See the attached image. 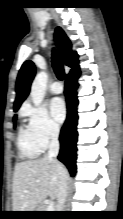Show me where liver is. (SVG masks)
<instances>
[{
  "mask_svg": "<svg viewBox=\"0 0 123 219\" xmlns=\"http://www.w3.org/2000/svg\"><path fill=\"white\" fill-rule=\"evenodd\" d=\"M63 168L68 178V172ZM59 183L57 163L47 156L16 164L12 188L13 211H34L47 197L56 198Z\"/></svg>",
  "mask_w": 123,
  "mask_h": 219,
  "instance_id": "liver-1",
  "label": "liver"
}]
</instances>
